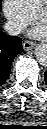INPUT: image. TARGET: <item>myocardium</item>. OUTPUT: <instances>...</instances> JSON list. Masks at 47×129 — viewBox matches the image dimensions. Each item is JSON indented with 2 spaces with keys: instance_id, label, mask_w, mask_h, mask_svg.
<instances>
[{
  "instance_id": "1",
  "label": "myocardium",
  "mask_w": 47,
  "mask_h": 129,
  "mask_svg": "<svg viewBox=\"0 0 47 129\" xmlns=\"http://www.w3.org/2000/svg\"><path fill=\"white\" fill-rule=\"evenodd\" d=\"M46 9H47V0L44 1L42 6L37 10V12L34 15V19L36 21H39L42 16H46Z\"/></svg>"
}]
</instances>
